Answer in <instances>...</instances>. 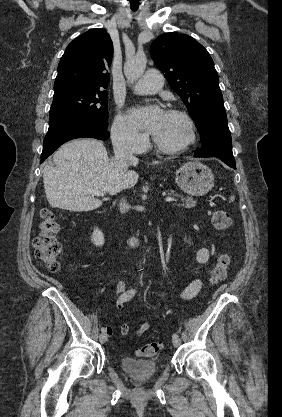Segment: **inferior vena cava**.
<instances>
[{
    "label": "inferior vena cava",
    "mask_w": 282,
    "mask_h": 417,
    "mask_svg": "<svg viewBox=\"0 0 282 417\" xmlns=\"http://www.w3.org/2000/svg\"><path fill=\"white\" fill-rule=\"evenodd\" d=\"M112 134L113 150L115 154L113 160H115V162H121V164H124L125 168H128L131 162L137 160L136 156H133L132 154L130 142L127 136H119L118 132H112ZM119 206L120 213H127L129 204H127L124 198L119 202Z\"/></svg>",
    "instance_id": "obj_1"
}]
</instances>
